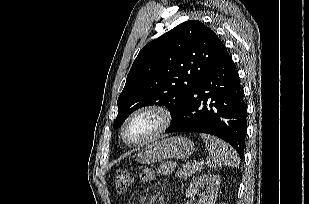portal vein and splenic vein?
<instances>
[{
	"instance_id": "18ae733b",
	"label": "portal vein and splenic vein",
	"mask_w": 309,
	"mask_h": 204,
	"mask_svg": "<svg viewBox=\"0 0 309 204\" xmlns=\"http://www.w3.org/2000/svg\"><path fill=\"white\" fill-rule=\"evenodd\" d=\"M202 164H203V162H199V163H198V165H202Z\"/></svg>"
}]
</instances>
